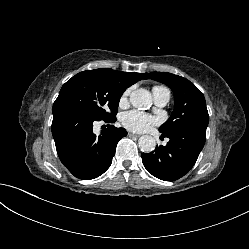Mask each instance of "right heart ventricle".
Masks as SVG:
<instances>
[{"label": "right heart ventricle", "instance_id": "e07e8e85", "mask_svg": "<svg viewBox=\"0 0 249 249\" xmlns=\"http://www.w3.org/2000/svg\"><path fill=\"white\" fill-rule=\"evenodd\" d=\"M164 87H161V86H155L154 88H153V90H156V89H163Z\"/></svg>", "mask_w": 249, "mask_h": 249}]
</instances>
